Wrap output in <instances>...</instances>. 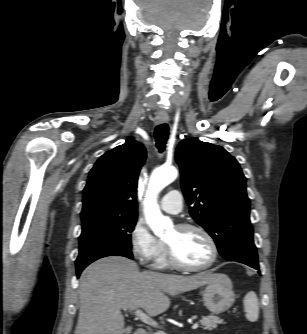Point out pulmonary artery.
<instances>
[{"instance_id": "e3ab8cb5", "label": "pulmonary artery", "mask_w": 307, "mask_h": 334, "mask_svg": "<svg viewBox=\"0 0 307 334\" xmlns=\"http://www.w3.org/2000/svg\"><path fill=\"white\" fill-rule=\"evenodd\" d=\"M183 198L179 190L173 189L167 192L160 201L163 211L170 214H177L182 210Z\"/></svg>"}]
</instances>
